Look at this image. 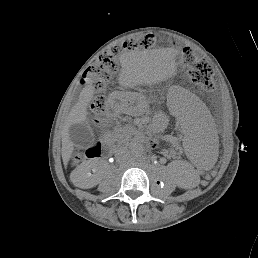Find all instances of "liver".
I'll return each mask as SVG.
<instances>
[{
  "label": "liver",
  "mask_w": 258,
  "mask_h": 258,
  "mask_svg": "<svg viewBox=\"0 0 258 258\" xmlns=\"http://www.w3.org/2000/svg\"><path fill=\"white\" fill-rule=\"evenodd\" d=\"M123 70L120 76L121 84L127 85L131 84L135 78V76H153L160 75L162 71H160L159 67L151 63H142L139 65H132L128 63L126 60L122 64ZM94 96V88L92 86H87L80 94L79 101L76 103L74 108L72 109L69 117L68 124L64 130L62 137V159L65 164L71 158V155L74 150V143L69 138V127L75 123H83L88 115L87 107L90 101ZM74 171L71 173V180L73 182ZM77 187L80 188H88L90 186V182L82 181L79 183H74Z\"/></svg>",
  "instance_id": "6515ba94"
}]
</instances>
